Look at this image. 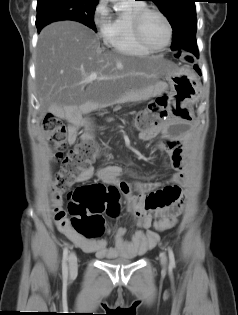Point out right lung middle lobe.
Returning <instances> with one entry per match:
<instances>
[{"mask_svg":"<svg viewBox=\"0 0 238 315\" xmlns=\"http://www.w3.org/2000/svg\"><path fill=\"white\" fill-rule=\"evenodd\" d=\"M98 0H38L37 29L58 20H73L96 30L94 11Z\"/></svg>","mask_w":238,"mask_h":315,"instance_id":"1","label":"right lung middle lobe"}]
</instances>
